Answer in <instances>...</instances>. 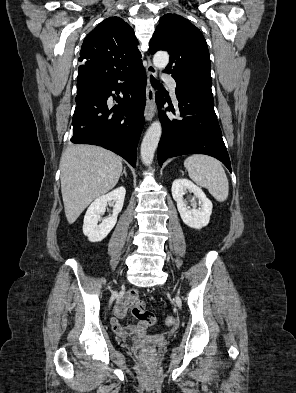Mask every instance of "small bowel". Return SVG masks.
Instances as JSON below:
<instances>
[{
	"label": "small bowel",
	"mask_w": 296,
	"mask_h": 393,
	"mask_svg": "<svg viewBox=\"0 0 296 393\" xmlns=\"http://www.w3.org/2000/svg\"><path fill=\"white\" fill-rule=\"evenodd\" d=\"M135 299H139L138 291L130 290L120 298L118 304L114 309V315L113 318L111 319V325L113 330L119 336L143 335L147 329L148 325L145 324L144 322L123 326L118 321L120 318L124 317L126 313L127 310L126 302Z\"/></svg>",
	"instance_id": "obj_1"
}]
</instances>
